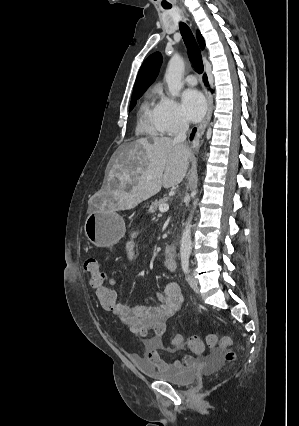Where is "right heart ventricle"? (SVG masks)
Returning a JSON list of instances; mask_svg holds the SVG:
<instances>
[{
    "mask_svg": "<svg viewBox=\"0 0 299 426\" xmlns=\"http://www.w3.org/2000/svg\"><path fill=\"white\" fill-rule=\"evenodd\" d=\"M138 131L151 136L162 133L157 122V104L151 98L145 100L140 107Z\"/></svg>",
    "mask_w": 299,
    "mask_h": 426,
    "instance_id": "1",
    "label": "right heart ventricle"
}]
</instances>
